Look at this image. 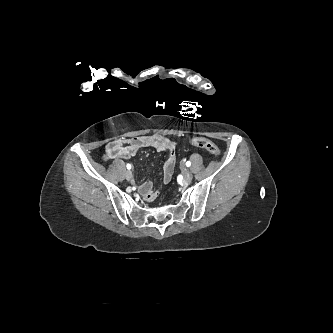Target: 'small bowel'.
Wrapping results in <instances>:
<instances>
[{"instance_id":"obj_1","label":"small bowel","mask_w":333,"mask_h":333,"mask_svg":"<svg viewBox=\"0 0 333 333\" xmlns=\"http://www.w3.org/2000/svg\"><path fill=\"white\" fill-rule=\"evenodd\" d=\"M176 142L160 134H151L135 137L132 139H118L111 141L105 150L103 160L107 161L114 158L128 159L137 154L142 148H153L158 152L167 154L163 166L162 179L164 183L170 182L176 166ZM141 191L147 201H153L157 197L153 183L146 181L141 185Z\"/></svg>"}]
</instances>
